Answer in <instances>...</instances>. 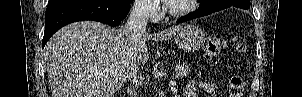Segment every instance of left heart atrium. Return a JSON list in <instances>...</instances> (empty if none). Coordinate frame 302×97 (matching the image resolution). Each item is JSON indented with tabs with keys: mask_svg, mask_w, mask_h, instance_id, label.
I'll return each instance as SVG.
<instances>
[{
	"mask_svg": "<svg viewBox=\"0 0 302 97\" xmlns=\"http://www.w3.org/2000/svg\"><path fill=\"white\" fill-rule=\"evenodd\" d=\"M165 3H171L173 0H164Z\"/></svg>",
	"mask_w": 302,
	"mask_h": 97,
	"instance_id": "1",
	"label": "left heart atrium"
}]
</instances>
